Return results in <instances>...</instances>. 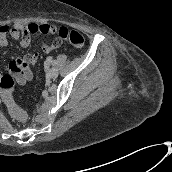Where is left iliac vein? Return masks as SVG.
<instances>
[{"instance_id":"obj_1","label":"left iliac vein","mask_w":172,"mask_h":172,"mask_svg":"<svg viewBox=\"0 0 172 172\" xmlns=\"http://www.w3.org/2000/svg\"><path fill=\"white\" fill-rule=\"evenodd\" d=\"M47 74L51 79H55L58 76V70L53 67L47 70Z\"/></svg>"}]
</instances>
